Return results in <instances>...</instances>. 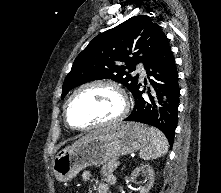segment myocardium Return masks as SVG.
Instances as JSON below:
<instances>
[{"label":"myocardium","mask_w":221,"mask_h":193,"mask_svg":"<svg viewBox=\"0 0 221 193\" xmlns=\"http://www.w3.org/2000/svg\"><path fill=\"white\" fill-rule=\"evenodd\" d=\"M95 86H106V87L112 88L119 95L121 99L120 111L113 118L103 121V122L95 123V124L85 126V127H78V126L73 125L69 121V118H68V108H69L70 103L72 102V100L75 98V96L78 93H80L84 89H87L89 87H95ZM128 111H129L128 97L125 91L123 90V88L119 84H117L116 82L112 80L95 79V80H91V81L81 84L70 94V96L67 98L63 107V117H64V122L68 128L74 131H78V132H86V131H90V130H94L98 128L116 125L120 123L126 117V115L128 114Z\"/></svg>","instance_id":"f54148a6"}]
</instances>
